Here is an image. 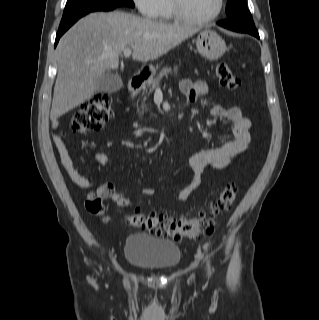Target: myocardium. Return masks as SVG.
<instances>
[{
  "label": "myocardium",
  "mask_w": 319,
  "mask_h": 320,
  "mask_svg": "<svg viewBox=\"0 0 319 320\" xmlns=\"http://www.w3.org/2000/svg\"><path fill=\"white\" fill-rule=\"evenodd\" d=\"M224 3V0H218L216 11L211 16L201 19L193 18L186 14L181 6L180 0H170V7L172 15L177 21L186 24L203 25L215 21L220 16L224 8Z\"/></svg>",
  "instance_id": "f54148a6"
}]
</instances>
